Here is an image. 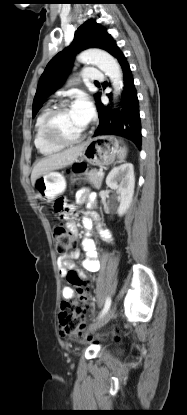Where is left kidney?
<instances>
[{"mask_svg":"<svg viewBox=\"0 0 187 415\" xmlns=\"http://www.w3.org/2000/svg\"><path fill=\"white\" fill-rule=\"evenodd\" d=\"M106 184L119 194V207L117 213L123 216L132 202L135 186L134 167L125 163L113 168L106 178Z\"/></svg>","mask_w":187,"mask_h":415,"instance_id":"1","label":"left kidney"}]
</instances>
